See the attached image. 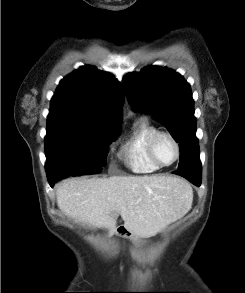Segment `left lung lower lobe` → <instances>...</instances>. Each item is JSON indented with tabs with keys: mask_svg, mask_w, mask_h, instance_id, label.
Listing matches in <instances>:
<instances>
[{
	"mask_svg": "<svg viewBox=\"0 0 245 293\" xmlns=\"http://www.w3.org/2000/svg\"><path fill=\"white\" fill-rule=\"evenodd\" d=\"M173 173L188 179L190 182L198 187L201 185L202 173H195L187 170H177Z\"/></svg>",
	"mask_w": 245,
	"mask_h": 293,
	"instance_id": "obj_1",
	"label": "left lung lower lobe"
}]
</instances>
